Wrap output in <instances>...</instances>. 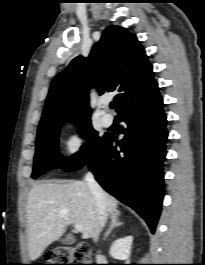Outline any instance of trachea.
<instances>
[{
  "label": "trachea",
  "mask_w": 205,
  "mask_h": 265,
  "mask_svg": "<svg viewBox=\"0 0 205 265\" xmlns=\"http://www.w3.org/2000/svg\"><path fill=\"white\" fill-rule=\"evenodd\" d=\"M114 107H115V103L112 102V103L110 104V108L113 109Z\"/></svg>",
  "instance_id": "obj_1"
}]
</instances>
